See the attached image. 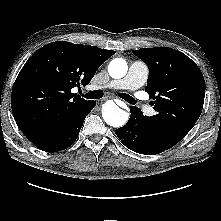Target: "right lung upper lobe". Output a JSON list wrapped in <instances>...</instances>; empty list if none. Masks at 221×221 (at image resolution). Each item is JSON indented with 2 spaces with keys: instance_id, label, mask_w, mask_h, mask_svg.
<instances>
[{
  "instance_id": "cb5924a9",
  "label": "right lung upper lobe",
  "mask_w": 221,
  "mask_h": 221,
  "mask_svg": "<svg viewBox=\"0 0 221 221\" xmlns=\"http://www.w3.org/2000/svg\"><path fill=\"white\" fill-rule=\"evenodd\" d=\"M115 51L53 42L37 50L14 83L11 107L23 134L35 142L80 114L92 101L71 93L87 85Z\"/></svg>"
}]
</instances>
